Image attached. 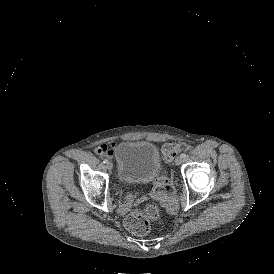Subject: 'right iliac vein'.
<instances>
[{
	"label": "right iliac vein",
	"instance_id": "obj_1",
	"mask_svg": "<svg viewBox=\"0 0 274 274\" xmlns=\"http://www.w3.org/2000/svg\"><path fill=\"white\" fill-rule=\"evenodd\" d=\"M106 167H107V169L112 170L114 166H113L112 162H107Z\"/></svg>",
	"mask_w": 274,
	"mask_h": 274
}]
</instances>
